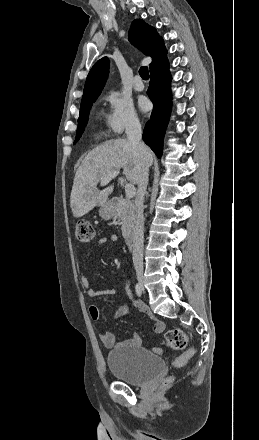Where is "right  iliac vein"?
Listing matches in <instances>:
<instances>
[{
	"instance_id": "63e3f726",
	"label": "right iliac vein",
	"mask_w": 259,
	"mask_h": 440,
	"mask_svg": "<svg viewBox=\"0 0 259 440\" xmlns=\"http://www.w3.org/2000/svg\"><path fill=\"white\" fill-rule=\"evenodd\" d=\"M137 279H138L139 285L141 286L142 290H144L145 280H144L142 270H137Z\"/></svg>"
}]
</instances>
